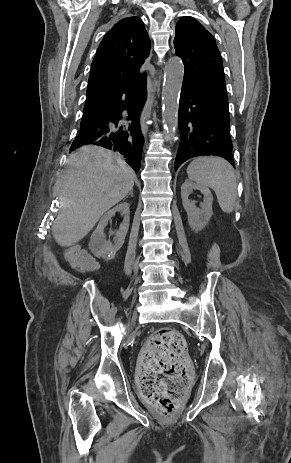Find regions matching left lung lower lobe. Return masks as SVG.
<instances>
[{"label":"left lung lower lobe","mask_w":291,"mask_h":463,"mask_svg":"<svg viewBox=\"0 0 291 463\" xmlns=\"http://www.w3.org/2000/svg\"><path fill=\"white\" fill-rule=\"evenodd\" d=\"M178 127L180 144L175 171L190 158L209 155L220 156L235 166L229 112L219 109L199 92L182 87Z\"/></svg>","instance_id":"left-lung-lower-lobe-1"}]
</instances>
